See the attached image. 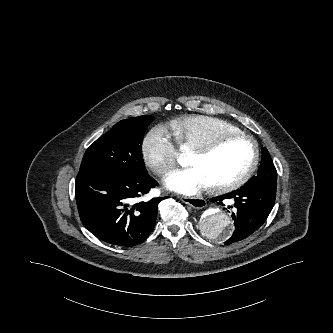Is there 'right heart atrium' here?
<instances>
[{
    "mask_svg": "<svg viewBox=\"0 0 333 333\" xmlns=\"http://www.w3.org/2000/svg\"><path fill=\"white\" fill-rule=\"evenodd\" d=\"M141 157L146 167L158 176L174 169L178 152L165 128L156 126L146 134L141 143Z\"/></svg>",
    "mask_w": 333,
    "mask_h": 333,
    "instance_id": "right-heart-atrium-1",
    "label": "right heart atrium"
}]
</instances>
